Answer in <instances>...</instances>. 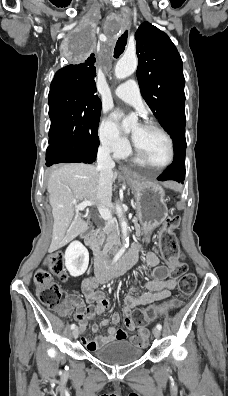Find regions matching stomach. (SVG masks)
Here are the masks:
<instances>
[{
	"label": "stomach",
	"instance_id": "1",
	"mask_svg": "<svg viewBox=\"0 0 228 396\" xmlns=\"http://www.w3.org/2000/svg\"><path fill=\"white\" fill-rule=\"evenodd\" d=\"M124 179L136 199V217L144 234H149L165 220L168 214L164 202L165 192L157 183L142 180L137 176H126Z\"/></svg>",
	"mask_w": 228,
	"mask_h": 396
}]
</instances>
